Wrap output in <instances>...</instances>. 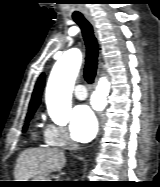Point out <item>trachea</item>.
<instances>
[{
	"instance_id": "3493384b",
	"label": "trachea",
	"mask_w": 160,
	"mask_h": 187,
	"mask_svg": "<svg viewBox=\"0 0 160 187\" xmlns=\"http://www.w3.org/2000/svg\"><path fill=\"white\" fill-rule=\"evenodd\" d=\"M73 20L79 25L86 45V58L84 67V79L92 84L97 71L98 43L94 35L91 23L84 17H74Z\"/></svg>"
}]
</instances>
